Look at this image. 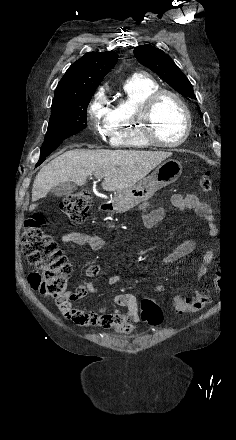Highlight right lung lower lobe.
I'll list each match as a JSON object with an SVG mask.
<instances>
[{"instance_id": "1", "label": "right lung lower lobe", "mask_w": 236, "mask_h": 440, "mask_svg": "<svg viewBox=\"0 0 236 440\" xmlns=\"http://www.w3.org/2000/svg\"><path fill=\"white\" fill-rule=\"evenodd\" d=\"M61 143L58 144H52V145H48V146H42L41 150H40V159L38 161V163L36 164V166H39L41 163L44 162V160L46 159V157L52 152L54 151Z\"/></svg>"}]
</instances>
